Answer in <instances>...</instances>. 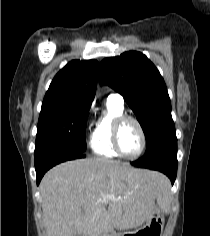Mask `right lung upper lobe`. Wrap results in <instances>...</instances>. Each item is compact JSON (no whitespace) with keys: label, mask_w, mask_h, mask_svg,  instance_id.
<instances>
[{"label":"right lung upper lobe","mask_w":210,"mask_h":236,"mask_svg":"<svg viewBox=\"0 0 210 236\" xmlns=\"http://www.w3.org/2000/svg\"><path fill=\"white\" fill-rule=\"evenodd\" d=\"M99 63L73 60L51 82L42 104L69 103L90 108L96 92Z\"/></svg>","instance_id":"cb5924a9"}]
</instances>
